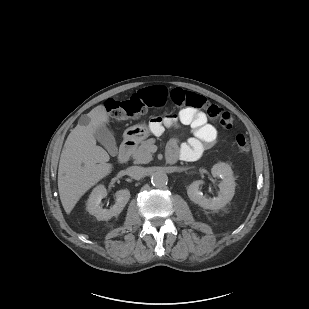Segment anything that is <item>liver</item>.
<instances>
[{"mask_svg":"<svg viewBox=\"0 0 309 309\" xmlns=\"http://www.w3.org/2000/svg\"><path fill=\"white\" fill-rule=\"evenodd\" d=\"M109 121L103 105L92 109L86 121L68 135L58 168V190L62 206L70 214L79 199L112 171L108 153L96 144V129Z\"/></svg>","mask_w":309,"mask_h":309,"instance_id":"6515ba94","label":"liver"}]
</instances>
